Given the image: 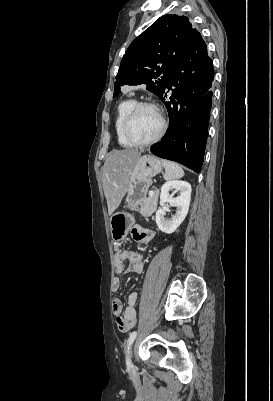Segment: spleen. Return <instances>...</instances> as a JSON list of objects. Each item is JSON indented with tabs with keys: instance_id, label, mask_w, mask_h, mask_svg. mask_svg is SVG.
<instances>
[{
	"instance_id": "obj_1",
	"label": "spleen",
	"mask_w": 273,
	"mask_h": 401,
	"mask_svg": "<svg viewBox=\"0 0 273 401\" xmlns=\"http://www.w3.org/2000/svg\"><path fill=\"white\" fill-rule=\"evenodd\" d=\"M161 162L165 168V180H173V178H181V176H184V170H182L177 162L165 160V158H161Z\"/></svg>"
}]
</instances>
